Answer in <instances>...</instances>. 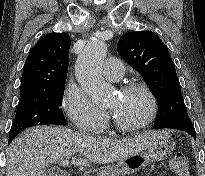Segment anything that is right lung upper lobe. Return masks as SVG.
Returning a JSON list of instances; mask_svg holds the SVG:
<instances>
[{"label":"right lung upper lobe","mask_w":205,"mask_h":176,"mask_svg":"<svg viewBox=\"0 0 205 176\" xmlns=\"http://www.w3.org/2000/svg\"><path fill=\"white\" fill-rule=\"evenodd\" d=\"M70 44L67 33H50L39 39L23 68L21 96L66 82Z\"/></svg>","instance_id":"cb5924a9"}]
</instances>
